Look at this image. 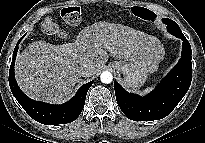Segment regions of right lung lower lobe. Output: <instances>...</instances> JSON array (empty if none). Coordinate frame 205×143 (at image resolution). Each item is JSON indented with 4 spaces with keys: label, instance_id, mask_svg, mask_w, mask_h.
<instances>
[{
    "label": "right lung lower lobe",
    "instance_id": "98d812e1",
    "mask_svg": "<svg viewBox=\"0 0 205 143\" xmlns=\"http://www.w3.org/2000/svg\"><path fill=\"white\" fill-rule=\"evenodd\" d=\"M20 40L15 46L9 70V85L14 97L31 118L42 124L57 125L74 121L84 108L87 91L93 81L83 85L71 100L61 105H51L28 98L18 87L14 76V64Z\"/></svg>",
    "mask_w": 205,
    "mask_h": 143
}]
</instances>
